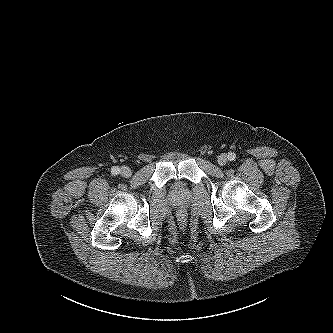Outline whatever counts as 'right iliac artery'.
I'll return each instance as SVG.
<instances>
[{
    "instance_id": "right-iliac-artery-1",
    "label": "right iliac artery",
    "mask_w": 333,
    "mask_h": 333,
    "mask_svg": "<svg viewBox=\"0 0 333 333\" xmlns=\"http://www.w3.org/2000/svg\"><path fill=\"white\" fill-rule=\"evenodd\" d=\"M111 172L112 174L117 175L120 173V169L118 167H113Z\"/></svg>"
}]
</instances>
